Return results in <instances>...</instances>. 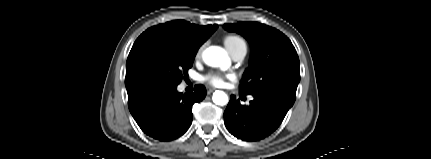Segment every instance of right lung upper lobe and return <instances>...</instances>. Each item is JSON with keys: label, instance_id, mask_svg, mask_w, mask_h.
Masks as SVG:
<instances>
[{"label": "right lung upper lobe", "instance_id": "1", "mask_svg": "<svg viewBox=\"0 0 431 159\" xmlns=\"http://www.w3.org/2000/svg\"><path fill=\"white\" fill-rule=\"evenodd\" d=\"M217 27L216 24L198 26L184 20L170 21L147 29L137 38L135 43L145 39H160L187 49L198 50ZM125 85L128 97L145 87L133 77L128 65H126Z\"/></svg>", "mask_w": 431, "mask_h": 159}]
</instances>
